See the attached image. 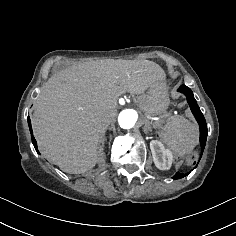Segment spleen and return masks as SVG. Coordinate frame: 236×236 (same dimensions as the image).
Masks as SVG:
<instances>
[{
    "label": "spleen",
    "mask_w": 236,
    "mask_h": 236,
    "mask_svg": "<svg viewBox=\"0 0 236 236\" xmlns=\"http://www.w3.org/2000/svg\"><path fill=\"white\" fill-rule=\"evenodd\" d=\"M160 129L164 142L178 154L191 153L197 144V126L186 119L170 117Z\"/></svg>",
    "instance_id": "3e777b00"
}]
</instances>
